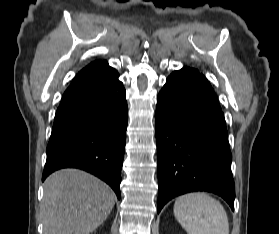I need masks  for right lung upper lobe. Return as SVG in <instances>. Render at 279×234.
I'll return each instance as SVG.
<instances>
[{"instance_id":"cb5924a9","label":"right lung upper lobe","mask_w":279,"mask_h":234,"mask_svg":"<svg viewBox=\"0 0 279 234\" xmlns=\"http://www.w3.org/2000/svg\"><path fill=\"white\" fill-rule=\"evenodd\" d=\"M106 61H101V60H97L94 62H91L89 65H87L85 68H83L76 76L83 74L85 72H88L98 66H100L101 64L105 63Z\"/></svg>"}]
</instances>
